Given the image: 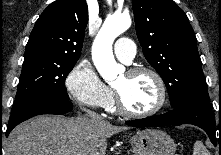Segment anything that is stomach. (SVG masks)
Instances as JSON below:
<instances>
[{
    "label": "stomach",
    "mask_w": 221,
    "mask_h": 155,
    "mask_svg": "<svg viewBox=\"0 0 221 155\" xmlns=\"http://www.w3.org/2000/svg\"><path fill=\"white\" fill-rule=\"evenodd\" d=\"M136 155H175L176 145L164 131L144 129L129 140Z\"/></svg>",
    "instance_id": "stomach-1"
}]
</instances>
